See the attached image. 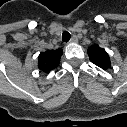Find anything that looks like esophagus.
<instances>
[{"label":"esophagus","instance_id":"esophagus-1","mask_svg":"<svg viewBox=\"0 0 127 127\" xmlns=\"http://www.w3.org/2000/svg\"><path fill=\"white\" fill-rule=\"evenodd\" d=\"M69 42L70 43H77L78 42V37L76 35H73Z\"/></svg>","mask_w":127,"mask_h":127}]
</instances>
